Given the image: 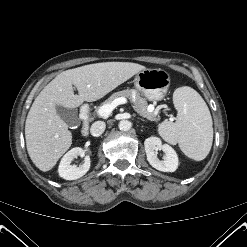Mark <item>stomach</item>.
<instances>
[{"instance_id":"0dacf381","label":"stomach","mask_w":247,"mask_h":247,"mask_svg":"<svg viewBox=\"0 0 247 247\" xmlns=\"http://www.w3.org/2000/svg\"><path fill=\"white\" fill-rule=\"evenodd\" d=\"M170 84V75L162 69H144L134 78L135 88L150 101L162 100Z\"/></svg>"}]
</instances>
